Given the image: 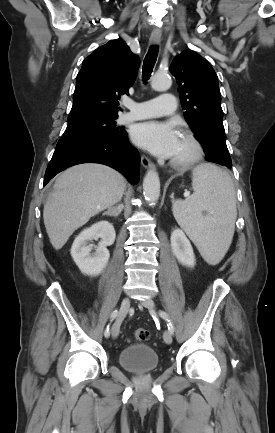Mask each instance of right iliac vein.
I'll list each match as a JSON object with an SVG mask.
<instances>
[{"mask_svg":"<svg viewBox=\"0 0 275 433\" xmlns=\"http://www.w3.org/2000/svg\"><path fill=\"white\" fill-rule=\"evenodd\" d=\"M129 307H130V299L124 298L121 302V306H120V310H119L117 319H116V321L113 324L112 329H111V333H112L113 338H117V336L119 335L121 323H122L123 319L125 318V316L127 315Z\"/></svg>","mask_w":275,"mask_h":433,"instance_id":"1","label":"right iliac vein"}]
</instances>
